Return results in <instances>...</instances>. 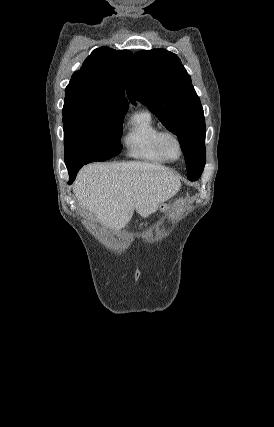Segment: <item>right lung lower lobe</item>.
Masks as SVG:
<instances>
[{"label":"right lung lower lobe","instance_id":"1","mask_svg":"<svg viewBox=\"0 0 274 427\" xmlns=\"http://www.w3.org/2000/svg\"><path fill=\"white\" fill-rule=\"evenodd\" d=\"M83 166V164H76V165H69L67 166L68 172H69V176H70V180L68 182V184H71L74 180L75 177L79 171V169Z\"/></svg>","mask_w":274,"mask_h":427}]
</instances>
